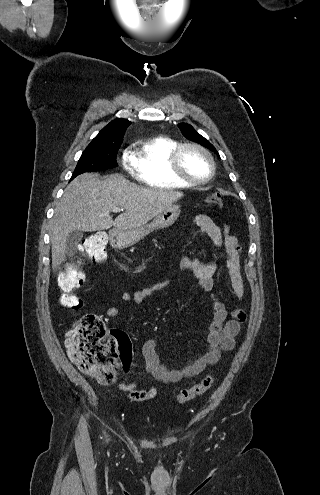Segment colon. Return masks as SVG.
<instances>
[{"label": "colon", "mask_w": 320, "mask_h": 495, "mask_svg": "<svg viewBox=\"0 0 320 495\" xmlns=\"http://www.w3.org/2000/svg\"><path fill=\"white\" fill-rule=\"evenodd\" d=\"M206 202L214 209L222 205V197L213 193ZM107 237L103 232H95L83 241L80 264H70L59 278V287L64 292L60 302L65 308L78 309L81 301L73 294L85 279L82 265L89 262L100 263L106 260ZM68 356L78 368L96 378L103 385L112 384L117 378L119 361H131V343L127 335L117 330H108L102 318L95 314L82 316L68 332L65 340ZM214 377L207 375L196 385L184 389L178 395V402L184 404L206 393L213 385ZM132 401H143L147 391L130 392Z\"/></svg>", "instance_id": "colon-1"}]
</instances>
